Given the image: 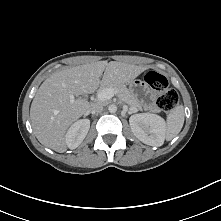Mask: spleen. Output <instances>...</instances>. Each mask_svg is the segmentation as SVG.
Here are the masks:
<instances>
[{"label": "spleen", "instance_id": "1", "mask_svg": "<svg viewBox=\"0 0 221 221\" xmlns=\"http://www.w3.org/2000/svg\"><path fill=\"white\" fill-rule=\"evenodd\" d=\"M184 124V107L178 105L167 116L166 139L171 140L181 131Z\"/></svg>", "mask_w": 221, "mask_h": 221}]
</instances>
